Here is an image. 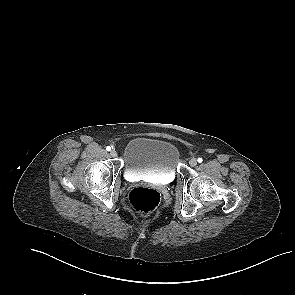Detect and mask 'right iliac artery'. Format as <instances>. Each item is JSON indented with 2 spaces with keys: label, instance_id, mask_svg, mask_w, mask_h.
Instances as JSON below:
<instances>
[{
  "label": "right iliac artery",
  "instance_id": "1",
  "mask_svg": "<svg viewBox=\"0 0 295 295\" xmlns=\"http://www.w3.org/2000/svg\"><path fill=\"white\" fill-rule=\"evenodd\" d=\"M106 150H107V151H110V150H111V147H110V146H107V147H106Z\"/></svg>",
  "mask_w": 295,
  "mask_h": 295
}]
</instances>
